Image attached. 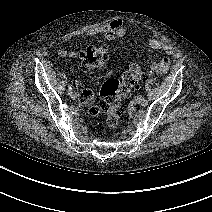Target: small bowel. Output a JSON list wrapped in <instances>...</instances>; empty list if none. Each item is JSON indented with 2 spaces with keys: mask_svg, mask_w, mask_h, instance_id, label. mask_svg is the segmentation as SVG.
<instances>
[{
  "mask_svg": "<svg viewBox=\"0 0 212 212\" xmlns=\"http://www.w3.org/2000/svg\"><path fill=\"white\" fill-rule=\"evenodd\" d=\"M126 33L125 27L123 25V22L121 20H112L106 24L100 25L96 28L90 29L86 36H93L96 34H102L104 35L105 39L113 42L119 38H122ZM147 45L149 48L153 50H161L168 56H171L174 54V47L161 39L158 38H151L148 40ZM58 54L62 57H77L78 52L76 51H69L64 48L58 49ZM170 66V59L169 58H163L160 61L151 63L150 67L151 70L159 75L165 74ZM89 90L84 88L81 91V100H84L88 96Z\"/></svg>",
  "mask_w": 212,
  "mask_h": 212,
  "instance_id": "small-bowel-1",
  "label": "small bowel"
}]
</instances>
